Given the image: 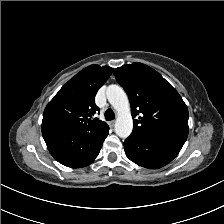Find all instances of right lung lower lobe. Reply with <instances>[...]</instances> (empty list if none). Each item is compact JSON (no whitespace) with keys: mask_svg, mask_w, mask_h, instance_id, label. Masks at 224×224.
<instances>
[{"mask_svg":"<svg viewBox=\"0 0 224 224\" xmlns=\"http://www.w3.org/2000/svg\"><path fill=\"white\" fill-rule=\"evenodd\" d=\"M109 127L99 132H78L54 124L42 125V134L51 155L72 168L89 165L98 156Z\"/></svg>","mask_w":224,"mask_h":224,"instance_id":"1","label":"right lung lower lobe"}]
</instances>
